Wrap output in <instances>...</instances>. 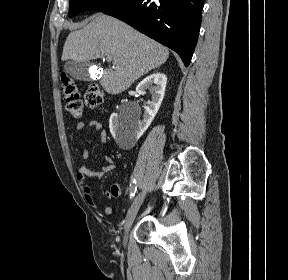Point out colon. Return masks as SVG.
I'll return each mask as SVG.
<instances>
[{
    "label": "colon",
    "instance_id": "1",
    "mask_svg": "<svg viewBox=\"0 0 288 280\" xmlns=\"http://www.w3.org/2000/svg\"><path fill=\"white\" fill-rule=\"evenodd\" d=\"M63 93L66 101L67 110L74 117H80L83 113L84 105L89 110L97 109L104 101V93L98 85H90L84 94V102L81 100L76 82L62 75Z\"/></svg>",
    "mask_w": 288,
    "mask_h": 280
}]
</instances>
